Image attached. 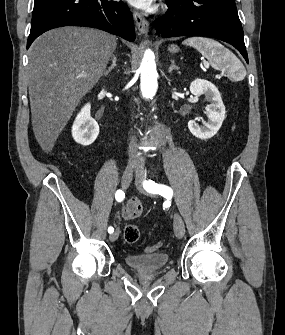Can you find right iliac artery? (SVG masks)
I'll list each match as a JSON object with an SVG mask.
<instances>
[{
	"instance_id": "right-iliac-artery-1",
	"label": "right iliac artery",
	"mask_w": 285,
	"mask_h": 335,
	"mask_svg": "<svg viewBox=\"0 0 285 335\" xmlns=\"http://www.w3.org/2000/svg\"><path fill=\"white\" fill-rule=\"evenodd\" d=\"M124 198H125V193L122 190H117L116 193H115V199L118 202H122ZM108 232L109 233H113L114 232V228L113 227H109L108 228Z\"/></svg>"
}]
</instances>
